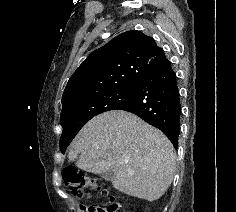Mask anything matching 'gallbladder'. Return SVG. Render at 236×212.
Returning <instances> with one entry per match:
<instances>
[{"instance_id": "bac80fb5", "label": "gallbladder", "mask_w": 236, "mask_h": 212, "mask_svg": "<svg viewBox=\"0 0 236 212\" xmlns=\"http://www.w3.org/2000/svg\"><path fill=\"white\" fill-rule=\"evenodd\" d=\"M101 177L106 181H112L114 179V172L113 170H108L101 174Z\"/></svg>"}]
</instances>
